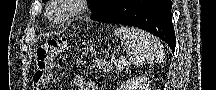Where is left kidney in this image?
<instances>
[{
  "label": "left kidney",
  "mask_w": 216,
  "mask_h": 90,
  "mask_svg": "<svg viewBox=\"0 0 216 90\" xmlns=\"http://www.w3.org/2000/svg\"><path fill=\"white\" fill-rule=\"evenodd\" d=\"M120 90H150V82L146 76H138V78L123 82Z\"/></svg>",
  "instance_id": "1"
}]
</instances>
